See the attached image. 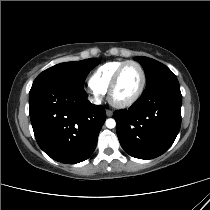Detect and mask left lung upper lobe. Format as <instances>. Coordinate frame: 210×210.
I'll use <instances>...</instances> for the list:
<instances>
[{"label": "left lung upper lobe", "instance_id": "5c2ea615", "mask_svg": "<svg viewBox=\"0 0 210 210\" xmlns=\"http://www.w3.org/2000/svg\"><path fill=\"white\" fill-rule=\"evenodd\" d=\"M134 60L142 65L146 73L147 84H150L161 77L173 74L167 66L154 59L139 56L135 57Z\"/></svg>", "mask_w": 210, "mask_h": 210}]
</instances>
